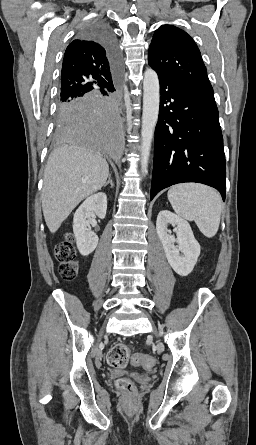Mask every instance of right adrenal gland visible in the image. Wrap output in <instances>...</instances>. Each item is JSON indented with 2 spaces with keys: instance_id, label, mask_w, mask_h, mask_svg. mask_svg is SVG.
Wrapping results in <instances>:
<instances>
[{
  "instance_id": "1",
  "label": "right adrenal gland",
  "mask_w": 256,
  "mask_h": 445,
  "mask_svg": "<svg viewBox=\"0 0 256 445\" xmlns=\"http://www.w3.org/2000/svg\"><path fill=\"white\" fill-rule=\"evenodd\" d=\"M108 184H110V186H111L112 188L114 187V183H113V181H112L111 174L108 175V181L105 182V184H104L103 186L106 187Z\"/></svg>"
}]
</instances>
